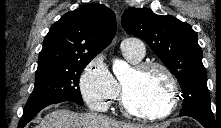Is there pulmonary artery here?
Returning <instances> with one entry per match:
<instances>
[{"mask_svg": "<svg viewBox=\"0 0 221 128\" xmlns=\"http://www.w3.org/2000/svg\"><path fill=\"white\" fill-rule=\"evenodd\" d=\"M121 50L124 53L133 54L135 59H141L145 54V45L139 38L128 37L122 41Z\"/></svg>", "mask_w": 221, "mask_h": 128, "instance_id": "e3ab8cb5", "label": "pulmonary artery"}]
</instances>
